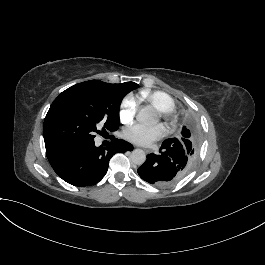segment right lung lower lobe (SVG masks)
I'll use <instances>...</instances> for the list:
<instances>
[{
    "label": "right lung lower lobe",
    "mask_w": 265,
    "mask_h": 265,
    "mask_svg": "<svg viewBox=\"0 0 265 265\" xmlns=\"http://www.w3.org/2000/svg\"><path fill=\"white\" fill-rule=\"evenodd\" d=\"M131 150L132 144L117 138L107 148L96 147L90 139L60 144L46 150V154L54 171L64 181L74 186H89L105 176L115 153Z\"/></svg>",
    "instance_id": "obj_1"
}]
</instances>
